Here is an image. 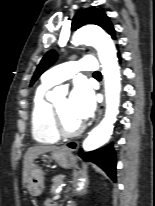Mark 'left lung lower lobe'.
<instances>
[{
  "label": "left lung lower lobe",
  "instance_id": "obj_1",
  "mask_svg": "<svg viewBox=\"0 0 155 206\" xmlns=\"http://www.w3.org/2000/svg\"><path fill=\"white\" fill-rule=\"evenodd\" d=\"M79 155L85 161H91L99 165L113 181H116V159L112 144L87 153L80 150Z\"/></svg>",
  "mask_w": 155,
  "mask_h": 206
}]
</instances>
